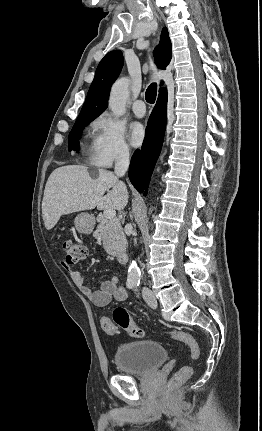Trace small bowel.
Masks as SVG:
<instances>
[{"label":"small bowel","mask_w":262,"mask_h":431,"mask_svg":"<svg viewBox=\"0 0 262 431\" xmlns=\"http://www.w3.org/2000/svg\"><path fill=\"white\" fill-rule=\"evenodd\" d=\"M69 272L71 280L80 292L87 296L91 303L98 308L108 306L112 301L123 302L127 298V292L124 288L118 286L119 279L112 277L103 281L97 290H91L84 282L80 273L69 265H63Z\"/></svg>","instance_id":"1"}]
</instances>
